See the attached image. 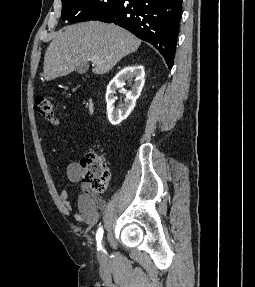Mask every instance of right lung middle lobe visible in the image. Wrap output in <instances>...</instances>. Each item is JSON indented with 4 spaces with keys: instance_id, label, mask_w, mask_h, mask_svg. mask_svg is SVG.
<instances>
[{
    "instance_id": "dd1d6c3e",
    "label": "right lung middle lobe",
    "mask_w": 255,
    "mask_h": 287,
    "mask_svg": "<svg viewBox=\"0 0 255 287\" xmlns=\"http://www.w3.org/2000/svg\"><path fill=\"white\" fill-rule=\"evenodd\" d=\"M123 0H62V20L84 22L97 20Z\"/></svg>"
}]
</instances>
